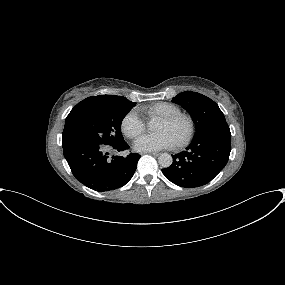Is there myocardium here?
Returning a JSON list of instances; mask_svg holds the SVG:
<instances>
[{
  "instance_id": "obj_1",
  "label": "myocardium",
  "mask_w": 285,
  "mask_h": 285,
  "mask_svg": "<svg viewBox=\"0 0 285 285\" xmlns=\"http://www.w3.org/2000/svg\"><path fill=\"white\" fill-rule=\"evenodd\" d=\"M158 120L166 124H172L178 121H183L185 123L186 131L184 135L176 143H174V146L176 148H183L188 145L195 135L196 122L195 119L188 113L179 112L176 114L160 117Z\"/></svg>"
}]
</instances>
